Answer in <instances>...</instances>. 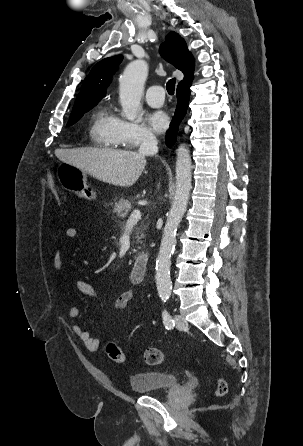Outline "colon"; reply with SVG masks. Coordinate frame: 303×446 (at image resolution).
<instances>
[{"label": "colon", "instance_id": "1", "mask_svg": "<svg viewBox=\"0 0 303 446\" xmlns=\"http://www.w3.org/2000/svg\"><path fill=\"white\" fill-rule=\"evenodd\" d=\"M46 181H47V187L50 190V192L55 197L60 198L61 197L60 189H59L57 183L55 182L54 178L52 177V175L49 172L47 173ZM106 352H107L109 358L113 362H115L117 364L124 363V361H125L124 352L115 343L109 342L106 345ZM144 360L148 365H153V366L159 365L164 361V354L162 353V351H160L157 348H148L145 350ZM226 392H227V383L223 378H219L217 381L215 394L217 396H223L226 394Z\"/></svg>", "mask_w": 303, "mask_h": 446}]
</instances>
